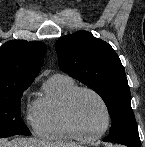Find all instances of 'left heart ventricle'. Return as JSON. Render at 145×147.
Here are the masks:
<instances>
[{"instance_id":"b2bd125f","label":"left heart ventricle","mask_w":145,"mask_h":147,"mask_svg":"<svg viewBox=\"0 0 145 147\" xmlns=\"http://www.w3.org/2000/svg\"><path fill=\"white\" fill-rule=\"evenodd\" d=\"M75 114L87 133H97L105 126V111L98 99L88 92H82L76 98Z\"/></svg>"}]
</instances>
